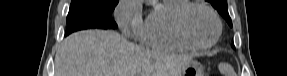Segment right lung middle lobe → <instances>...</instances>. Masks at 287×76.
I'll return each mask as SVG.
<instances>
[{"instance_id":"1","label":"right lung middle lobe","mask_w":287,"mask_h":76,"mask_svg":"<svg viewBox=\"0 0 287 76\" xmlns=\"http://www.w3.org/2000/svg\"><path fill=\"white\" fill-rule=\"evenodd\" d=\"M118 0H72L65 35L84 29H116L111 14Z\"/></svg>"}]
</instances>
